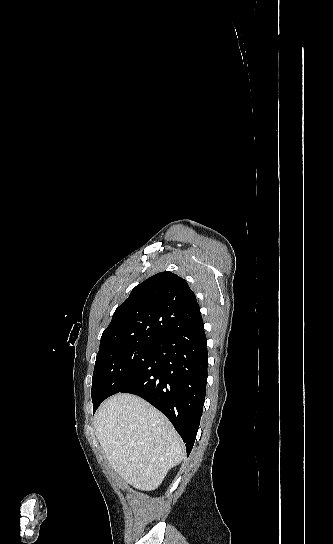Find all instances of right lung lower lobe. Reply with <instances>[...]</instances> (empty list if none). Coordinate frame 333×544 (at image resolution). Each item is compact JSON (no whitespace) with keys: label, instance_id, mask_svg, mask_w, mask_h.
I'll return each mask as SVG.
<instances>
[{"label":"right lung lower lobe","instance_id":"right-lung-lower-lobe-1","mask_svg":"<svg viewBox=\"0 0 333 544\" xmlns=\"http://www.w3.org/2000/svg\"><path fill=\"white\" fill-rule=\"evenodd\" d=\"M207 338L202 320L156 341L148 362L119 392L138 395L171 421L190 454L207 383Z\"/></svg>","mask_w":333,"mask_h":544}]
</instances>
